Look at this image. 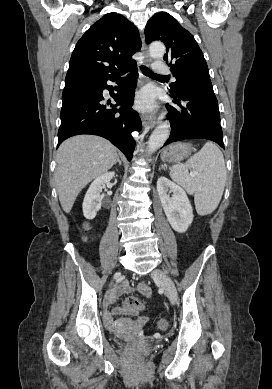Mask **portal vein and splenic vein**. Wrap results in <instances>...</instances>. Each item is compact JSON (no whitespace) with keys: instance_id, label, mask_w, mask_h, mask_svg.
<instances>
[{"instance_id":"portal-vein-and-splenic-vein-1","label":"portal vein and splenic vein","mask_w":272,"mask_h":389,"mask_svg":"<svg viewBox=\"0 0 272 389\" xmlns=\"http://www.w3.org/2000/svg\"><path fill=\"white\" fill-rule=\"evenodd\" d=\"M197 173L195 171L191 172L190 175L194 177Z\"/></svg>"}]
</instances>
